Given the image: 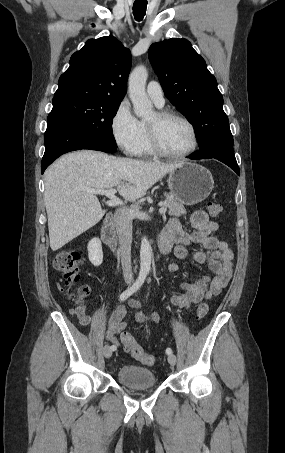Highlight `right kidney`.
I'll use <instances>...</instances> for the list:
<instances>
[{"label":"right kidney","mask_w":285,"mask_h":453,"mask_svg":"<svg viewBox=\"0 0 285 453\" xmlns=\"http://www.w3.org/2000/svg\"><path fill=\"white\" fill-rule=\"evenodd\" d=\"M88 257L94 266H100L103 262L102 243L99 238H93L89 241Z\"/></svg>","instance_id":"1"}]
</instances>
